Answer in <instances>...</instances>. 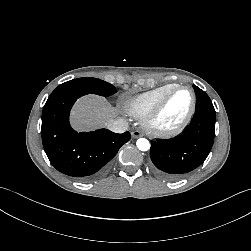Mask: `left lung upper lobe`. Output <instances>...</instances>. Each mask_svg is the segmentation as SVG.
I'll return each instance as SVG.
<instances>
[{
  "mask_svg": "<svg viewBox=\"0 0 251 251\" xmlns=\"http://www.w3.org/2000/svg\"><path fill=\"white\" fill-rule=\"evenodd\" d=\"M194 90L197 96L195 112L206 111L215 114V109L208 95L197 86H194Z\"/></svg>",
  "mask_w": 251,
  "mask_h": 251,
  "instance_id": "obj_1",
  "label": "left lung upper lobe"
}]
</instances>
